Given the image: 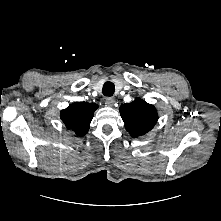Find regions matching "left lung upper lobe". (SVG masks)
<instances>
[{"mask_svg": "<svg viewBox=\"0 0 221 221\" xmlns=\"http://www.w3.org/2000/svg\"><path fill=\"white\" fill-rule=\"evenodd\" d=\"M119 111L125 122V128L132 137L146 134L158 120L156 108L140 98L121 105Z\"/></svg>", "mask_w": 221, "mask_h": 221, "instance_id": "obj_1", "label": "left lung upper lobe"}]
</instances>
